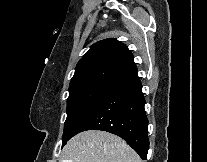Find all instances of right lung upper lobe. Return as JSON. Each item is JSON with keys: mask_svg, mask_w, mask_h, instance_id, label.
Segmentation results:
<instances>
[{"mask_svg": "<svg viewBox=\"0 0 207 162\" xmlns=\"http://www.w3.org/2000/svg\"><path fill=\"white\" fill-rule=\"evenodd\" d=\"M135 75L132 53L120 41L109 38L93 44L80 59L69 90L95 85L116 88Z\"/></svg>", "mask_w": 207, "mask_h": 162, "instance_id": "right-lung-upper-lobe-1", "label": "right lung upper lobe"}]
</instances>
